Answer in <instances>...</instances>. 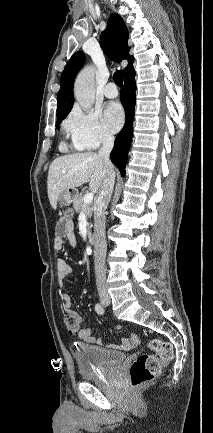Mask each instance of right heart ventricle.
I'll return each mask as SVG.
<instances>
[{
    "label": "right heart ventricle",
    "mask_w": 213,
    "mask_h": 433,
    "mask_svg": "<svg viewBox=\"0 0 213 433\" xmlns=\"http://www.w3.org/2000/svg\"><path fill=\"white\" fill-rule=\"evenodd\" d=\"M61 147L64 149L65 148V144H62Z\"/></svg>",
    "instance_id": "1"
}]
</instances>
